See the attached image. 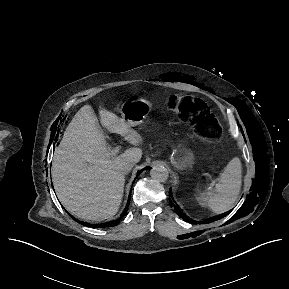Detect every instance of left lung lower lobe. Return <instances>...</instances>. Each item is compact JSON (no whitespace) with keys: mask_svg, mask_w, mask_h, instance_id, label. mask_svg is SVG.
<instances>
[{"mask_svg":"<svg viewBox=\"0 0 289 289\" xmlns=\"http://www.w3.org/2000/svg\"><path fill=\"white\" fill-rule=\"evenodd\" d=\"M170 197H171V198H169L170 205H171L172 207H174L176 213H177L181 218H183L185 221H187V222H189V223H192V224L200 223V222H197V221H195V220H193V219H190L188 216L184 215L183 212H182V210L180 209V207H179V206L176 204V202L173 200V197H172L171 194H170ZM216 220H217V219H216Z\"/></svg>","mask_w":289,"mask_h":289,"instance_id":"0a47b994","label":"left lung lower lobe"}]
</instances>
